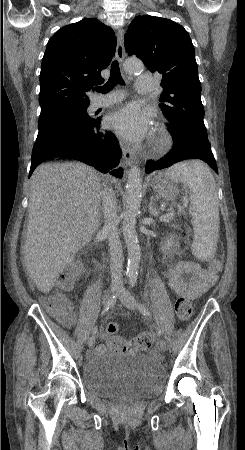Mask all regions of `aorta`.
Returning a JSON list of instances; mask_svg holds the SVG:
<instances>
[{
    "label": "aorta",
    "instance_id": "obj_1",
    "mask_svg": "<svg viewBox=\"0 0 245 450\" xmlns=\"http://www.w3.org/2000/svg\"><path fill=\"white\" fill-rule=\"evenodd\" d=\"M144 65L141 60L128 58L124 61V69L128 73L141 72ZM142 197V177L140 169L131 167L126 184V208L123 220V236L127 246V276L136 278L140 263V248L136 233V217L139 214Z\"/></svg>",
    "mask_w": 245,
    "mask_h": 450
}]
</instances>
